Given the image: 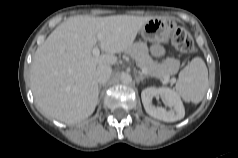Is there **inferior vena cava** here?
<instances>
[{"label": "inferior vena cava", "instance_id": "1", "mask_svg": "<svg viewBox=\"0 0 238 158\" xmlns=\"http://www.w3.org/2000/svg\"><path fill=\"white\" fill-rule=\"evenodd\" d=\"M112 74L110 65L100 64L96 69V79L100 85L105 84Z\"/></svg>", "mask_w": 238, "mask_h": 158}]
</instances>
